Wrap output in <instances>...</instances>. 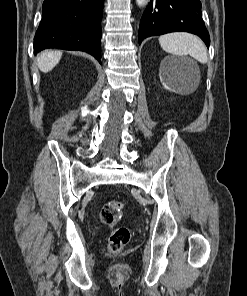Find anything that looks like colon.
<instances>
[{
  "label": "colon",
  "instance_id": "1",
  "mask_svg": "<svg viewBox=\"0 0 247 296\" xmlns=\"http://www.w3.org/2000/svg\"><path fill=\"white\" fill-rule=\"evenodd\" d=\"M124 205L122 201H110L104 204L100 211L103 223L111 230L108 240V249L111 253L122 251L130 241V230L127 227L117 226Z\"/></svg>",
  "mask_w": 247,
  "mask_h": 296
}]
</instances>
